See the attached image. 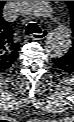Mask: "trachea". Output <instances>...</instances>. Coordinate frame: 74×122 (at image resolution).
<instances>
[{
    "mask_svg": "<svg viewBox=\"0 0 74 122\" xmlns=\"http://www.w3.org/2000/svg\"><path fill=\"white\" fill-rule=\"evenodd\" d=\"M41 33V29L35 23H29L26 27L25 35Z\"/></svg>",
    "mask_w": 74,
    "mask_h": 122,
    "instance_id": "1",
    "label": "trachea"
}]
</instances>
